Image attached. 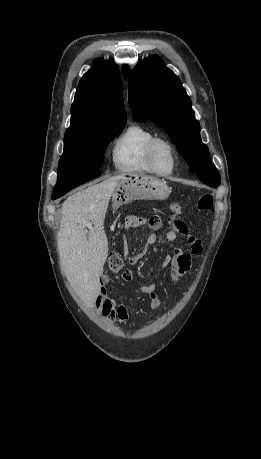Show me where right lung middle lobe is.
Returning a JSON list of instances; mask_svg holds the SVG:
<instances>
[{
  "instance_id": "dd1d6c3e",
  "label": "right lung middle lobe",
  "mask_w": 261,
  "mask_h": 459,
  "mask_svg": "<svg viewBox=\"0 0 261 459\" xmlns=\"http://www.w3.org/2000/svg\"><path fill=\"white\" fill-rule=\"evenodd\" d=\"M125 123L104 125L81 131L64 139V153L59 161L58 181L52 199L100 174L102 157L109 142L123 129Z\"/></svg>"
}]
</instances>
